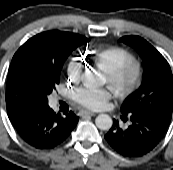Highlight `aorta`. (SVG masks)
Instances as JSON below:
<instances>
[{"mask_svg": "<svg viewBox=\"0 0 173 170\" xmlns=\"http://www.w3.org/2000/svg\"><path fill=\"white\" fill-rule=\"evenodd\" d=\"M84 82L89 86H101L104 82L103 77L95 70H85L82 73ZM95 123L100 129H109L112 125V120L108 115L102 114L97 116Z\"/></svg>", "mask_w": 173, "mask_h": 170, "instance_id": "obj_1", "label": "aorta"}]
</instances>
